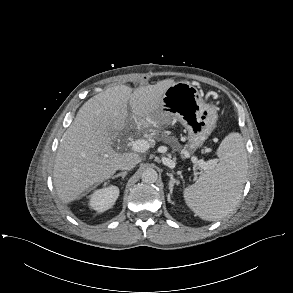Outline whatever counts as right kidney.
Segmentation results:
<instances>
[{"label":"right kidney","instance_id":"ca27d5eb","mask_svg":"<svg viewBox=\"0 0 293 293\" xmlns=\"http://www.w3.org/2000/svg\"><path fill=\"white\" fill-rule=\"evenodd\" d=\"M118 196L119 189L116 186L95 190L90 196L89 206L98 212H104L114 205Z\"/></svg>","mask_w":293,"mask_h":293}]
</instances>
